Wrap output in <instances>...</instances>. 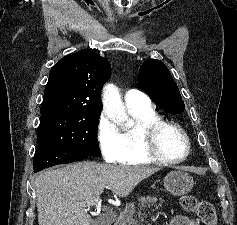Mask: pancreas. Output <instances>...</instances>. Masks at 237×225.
I'll return each mask as SVG.
<instances>
[{"label":"pancreas","instance_id":"cf45deb5","mask_svg":"<svg viewBox=\"0 0 237 225\" xmlns=\"http://www.w3.org/2000/svg\"><path fill=\"white\" fill-rule=\"evenodd\" d=\"M138 201H139L138 203L139 210H144L146 208L150 209L152 207L158 209L159 207L162 206L163 203V200L161 198L158 199L156 196L140 197ZM142 215L145 214H142L141 211H138L135 219H131L128 222V225H138L137 216L138 218H140Z\"/></svg>","mask_w":237,"mask_h":225}]
</instances>
